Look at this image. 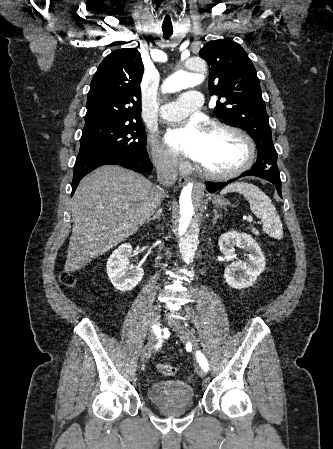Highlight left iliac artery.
Instances as JSON below:
<instances>
[{"instance_id":"obj_1","label":"left iliac artery","mask_w":333,"mask_h":449,"mask_svg":"<svg viewBox=\"0 0 333 449\" xmlns=\"http://www.w3.org/2000/svg\"><path fill=\"white\" fill-rule=\"evenodd\" d=\"M196 356H197V360H198L200 366L204 369L205 372H207L209 370V366H208V361H207L206 357L204 356V354L201 353L200 351H197Z\"/></svg>"}]
</instances>
